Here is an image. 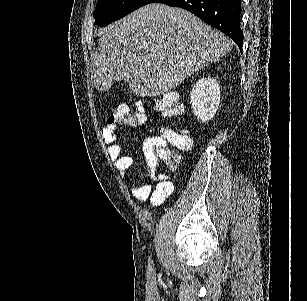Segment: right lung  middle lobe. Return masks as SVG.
I'll list each match as a JSON object with an SVG mask.
<instances>
[{
    "instance_id": "obj_1",
    "label": "right lung middle lobe",
    "mask_w": 307,
    "mask_h": 301,
    "mask_svg": "<svg viewBox=\"0 0 307 301\" xmlns=\"http://www.w3.org/2000/svg\"><path fill=\"white\" fill-rule=\"evenodd\" d=\"M152 0H98L94 18L98 26L118 20Z\"/></svg>"
}]
</instances>
